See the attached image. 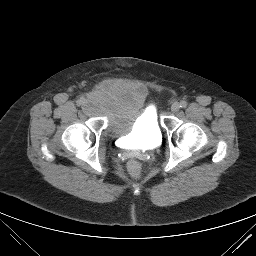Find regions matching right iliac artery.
Masks as SVG:
<instances>
[{
	"label": "right iliac artery",
	"mask_w": 256,
	"mask_h": 256,
	"mask_svg": "<svg viewBox=\"0 0 256 256\" xmlns=\"http://www.w3.org/2000/svg\"><path fill=\"white\" fill-rule=\"evenodd\" d=\"M85 99L84 98H80L77 100V105L80 106L84 103Z\"/></svg>",
	"instance_id": "82829eb1"
}]
</instances>
